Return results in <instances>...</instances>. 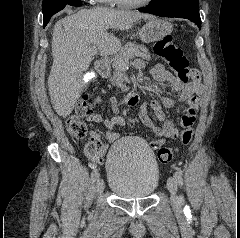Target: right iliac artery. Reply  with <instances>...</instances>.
<instances>
[{
	"instance_id": "1",
	"label": "right iliac artery",
	"mask_w": 240,
	"mask_h": 238,
	"mask_svg": "<svg viewBox=\"0 0 240 238\" xmlns=\"http://www.w3.org/2000/svg\"><path fill=\"white\" fill-rule=\"evenodd\" d=\"M98 177H99L98 170L94 169L93 172H92V180L96 181Z\"/></svg>"
}]
</instances>
